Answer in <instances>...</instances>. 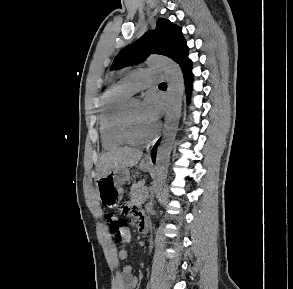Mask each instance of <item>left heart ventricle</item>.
Instances as JSON below:
<instances>
[{"mask_svg": "<svg viewBox=\"0 0 293 289\" xmlns=\"http://www.w3.org/2000/svg\"><path fill=\"white\" fill-rule=\"evenodd\" d=\"M130 114L135 136L140 139L148 137L152 133L155 124L150 123L144 117L142 104L140 102H132L130 105Z\"/></svg>", "mask_w": 293, "mask_h": 289, "instance_id": "1", "label": "left heart ventricle"}]
</instances>
